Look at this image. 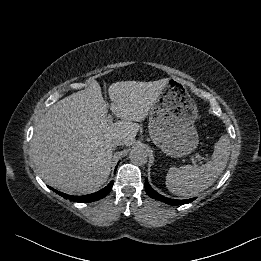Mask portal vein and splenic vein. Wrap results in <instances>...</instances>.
<instances>
[{
    "label": "portal vein and splenic vein",
    "instance_id": "portal-vein-and-splenic-vein-1",
    "mask_svg": "<svg viewBox=\"0 0 261 261\" xmlns=\"http://www.w3.org/2000/svg\"><path fill=\"white\" fill-rule=\"evenodd\" d=\"M112 120H113L112 115H108V116L106 117V122H107V123H111ZM194 158H196V159H198V160H206V158L203 157V156H201V155H195ZM194 158H192V162H193V163H195Z\"/></svg>",
    "mask_w": 261,
    "mask_h": 261
}]
</instances>
